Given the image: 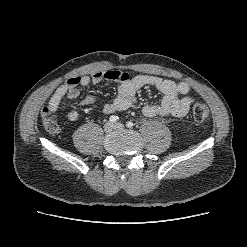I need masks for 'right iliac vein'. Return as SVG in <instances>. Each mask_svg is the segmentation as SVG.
I'll return each mask as SVG.
<instances>
[{
    "instance_id": "obj_1",
    "label": "right iliac vein",
    "mask_w": 247,
    "mask_h": 247,
    "mask_svg": "<svg viewBox=\"0 0 247 247\" xmlns=\"http://www.w3.org/2000/svg\"><path fill=\"white\" fill-rule=\"evenodd\" d=\"M113 128H114V125L111 122H107L104 125L105 132H111Z\"/></svg>"
}]
</instances>
